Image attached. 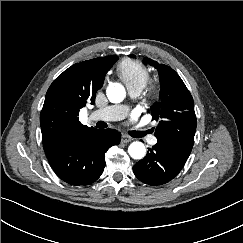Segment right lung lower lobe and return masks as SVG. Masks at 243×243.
<instances>
[{
    "label": "right lung lower lobe",
    "instance_id": "1",
    "mask_svg": "<svg viewBox=\"0 0 243 243\" xmlns=\"http://www.w3.org/2000/svg\"><path fill=\"white\" fill-rule=\"evenodd\" d=\"M119 142L120 134L117 131L94 129L61 142L44 145V150L59 178L71 185H88L103 173L105 152Z\"/></svg>",
    "mask_w": 243,
    "mask_h": 243
}]
</instances>
